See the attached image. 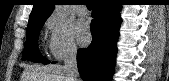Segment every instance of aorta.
Here are the masks:
<instances>
[{
    "mask_svg": "<svg viewBox=\"0 0 169 81\" xmlns=\"http://www.w3.org/2000/svg\"><path fill=\"white\" fill-rule=\"evenodd\" d=\"M55 13L62 17H68L70 14V9L67 7V5H56Z\"/></svg>",
    "mask_w": 169,
    "mask_h": 81,
    "instance_id": "762f6f07",
    "label": "aorta"
}]
</instances>
